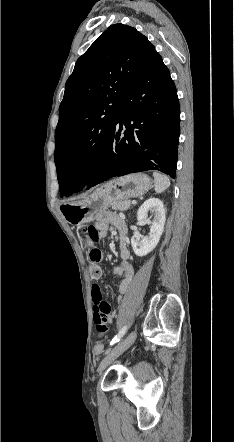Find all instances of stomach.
I'll return each mask as SVG.
<instances>
[{
  "label": "stomach",
  "instance_id": "0dacf381",
  "mask_svg": "<svg viewBox=\"0 0 234 442\" xmlns=\"http://www.w3.org/2000/svg\"><path fill=\"white\" fill-rule=\"evenodd\" d=\"M151 187L152 180L148 175L130 174L96 188L80 201L65 203L60 209L68 223L80 225L96 219L112 203L141 196Z\"/></svg>",
  "mask_w": 234,
  "mask_h": 442
}]
</instances>
